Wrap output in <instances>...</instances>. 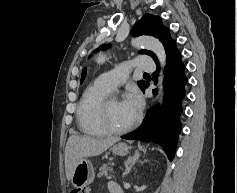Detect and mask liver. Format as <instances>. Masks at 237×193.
<instances>
[{
	"label": "liver",
	"instance_id": "1",
	"mask_svg": "<svg viewBox=\"0 0 237 193\" xmlns=\"http://www.w3.org/2000/svg\"><path fill=\"white\" fill-rule=\"evenodd\" d=\"M119 141V138H92L89 136L71 135L65 148V172L70 181L76 164L92 156H98Z\"/></svg>",
	"mask_w": 237,
	"mask_h": 193
}]
</instances>
